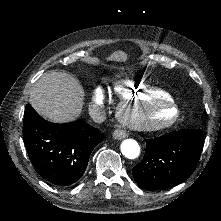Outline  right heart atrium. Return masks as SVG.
I'll use <instances>...</instances> for the list:
<instances>
[{
	"label": "right heart atrium",
	"instance_id": "obj_1",
	"mask_svg": "<svg viewBox=\"0 0 221 221\" xmlns=\"http://www.w3.org/2000/svg\"><path fill=\"white\" fill-rule=\"evenodd\" d=\"M106 91H107V88H106V86L105 85H103V84H100V85H98L97 87H96V89H95V100H96V102L97 103H99V104H102V103H104L105 102V100H106Z\"/></svg>",
	"mask_w": 221,
	"mask_h": 221
}]
</instances>
